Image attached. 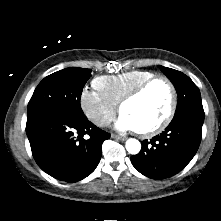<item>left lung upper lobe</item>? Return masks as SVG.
<instances>
[{"label": "left lung upper lobe", "instance_id": "1", "mask_svg": "<svg viewBox=\"0 0 221 221\" xmlns=\"http://www.w3.org/2000/svg\"><path fill=\"white\" fill-rule=\"evenodd\" d=\"M159 67L172 81L177 90L178 104L175 114L190 108H203L200 91L188 76L168 67Z\"/></svg>", "mask_w": 221, "mask_h": 221}]
</instances>
